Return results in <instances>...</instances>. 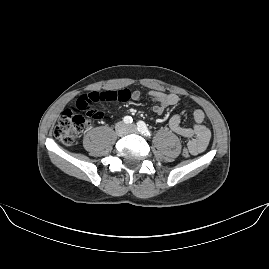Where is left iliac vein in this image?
<instances>
[{
    "label": "left iliac vein",
    "mask_w": 269,
    "mask_h": 269,
    "mask_svg": "<svg viewBox=\"0 0 269 269\" xmlns=\"http://www.w3.org/2000/svg\"><path fill=\"white\" fill-rule=\"evenodd\" d=\"M128 131H129L130 133H135V132H137V127H136V125H129V126H128Z\"/></svg>",
    "instance_id": "left-iliac-vein-1"
}]
</instances>
